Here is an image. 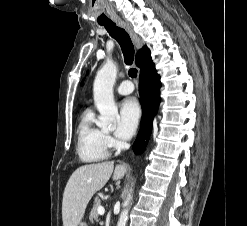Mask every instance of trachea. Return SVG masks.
Returning <instances> with one entry per match:
<instances>
[{"label":"trachea","mask_w":247,"mask_h":226,"mask_svg":"<svg viewBox=\"0 0 247 226\" xmlns=\"http://www.w3.org/2000/svg\"><path fill=\"white\" fill-rule=\"evenodd\" d=\"M111 37H113L120 45L126 65H131L134 60V46L129 34L113 22L102 23ZM128 74L131 78L137 77V69L130 68Z\"/></svg>","instance_id":"3493384b"}]
</instances>
